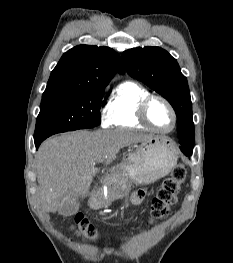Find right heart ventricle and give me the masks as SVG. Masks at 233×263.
Segmentation results:
<instances>
[{"mask_svg": "<svg viewBox=\"0 0 233 263\" xmlns=\"http://www.w3.org/2000/svg\"><path fill=\"white\" fill-rule=\"evenodd\" d=\"M148 95L150 92L142 85L133 81L123 82L108 104L109 126L144 129L137 110L139 103Z\"/></svg>", "mask_w": 233, "mask_h": 263, "instance_id": "obj_1", "label": "right heart ventricle"}]
</instances>
